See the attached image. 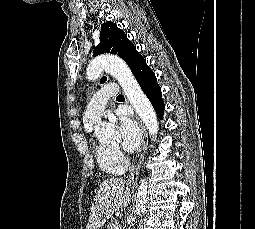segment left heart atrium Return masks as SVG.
<instances>
[{
  "label": "left heart atrium",
  "instance_id": "1",
  "mask_svg": "<svg viewBox=\"0 0 255 229\" xmlns=\"http://www.w3.org/2000/svg\"><path fill=\"white\" fill-rule=\"evenodd\" d=\"M120 141L124 150L135 151L141 140V132L138 125L130 118L122 117L118 124Z\"/></svg>",
  "mask_w": 255,
  "mask_h": 229
}]
</instances>
